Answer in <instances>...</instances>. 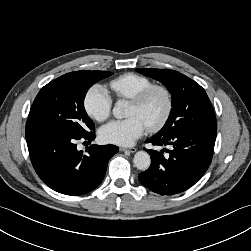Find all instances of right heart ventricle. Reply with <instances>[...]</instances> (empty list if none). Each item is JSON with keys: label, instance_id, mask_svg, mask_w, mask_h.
Instances as JSON below:
<instances>
[{"label": "right heart ventricle", "instance_id": "obj_1", "mask_svg": "<svg viewBox=\"0 0 251 251\" xmlns=\"http://www.w3.org/2000/svg\"><path fill=\"white\" fill-rule=\"evenodd\" d=\"M109 85L117 98L131 99L152 86L153 81L140 74L126 73L112 79Z\"/></svg>", "mask_w": 251, "mask_h": 251}]
</instances>
